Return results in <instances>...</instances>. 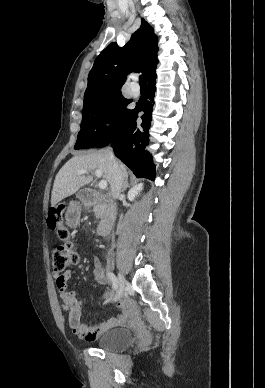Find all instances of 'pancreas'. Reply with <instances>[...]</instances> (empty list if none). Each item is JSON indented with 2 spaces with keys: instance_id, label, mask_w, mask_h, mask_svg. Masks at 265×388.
Wrapping results in <instances>:
<instances>
[{
  "instance_id": "1",
  "label": "pancreas",
  "mask_w": 265,
  "mask_h": 388,
  "mask_svg": "<svg viewBox=\"0 0 265 388\" xmlns=\"http://www.w3.org/2000/svg\"><path fill=\"white\" fill-rule=\"evenodd\" d=\"M106 206H94L93 212L96 218H102L103 212H99V210H105Z\"/></svg>"
}]
</instances>
